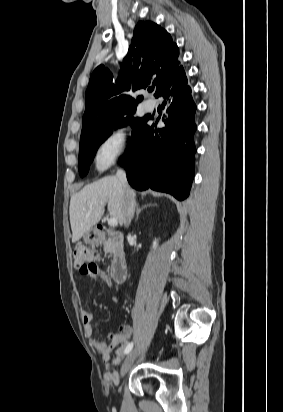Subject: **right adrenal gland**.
I'll return each instance as SVG.
<instances>
[{"instance_id":"obj_1","label":"right adrenal gland","mask_w":283,"mask_h":412,"mask_svg":"<svg viewBox=\"0 0 283 412\" xmlns=\"http://www.w3.org/2000/svg\"><path fill=\"white\" fill-rule=\"evenodd\" d=\"M150 206H155V204H147V205H144L142 208H140L139 207V204H136V218H135V222L138 220V217H139V214L141 213V211L143 210V209H145V208H147V207H150Z\"/></svg>"}]
</instances>
